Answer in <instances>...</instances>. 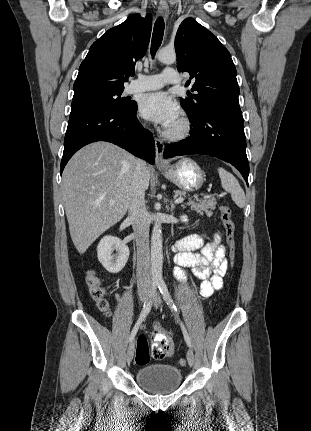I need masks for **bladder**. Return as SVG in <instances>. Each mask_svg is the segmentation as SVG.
Wrapping results in <instances>:
<instances>
[{"mask_svg": "<svg viewBox=\"0 0 311 431\" xmlns=\"http://www.w3.org/2000/svg\"><path fill=\"white\" fill-rule=\"evenodd\" d=\"M136 382L149 393L168 394L181 386L182 371L171 364H145L137 370Z\"/></svg>", "mask_w": 311, "mask_h": 431, "instance_id": "obj_1", "label": "bladder"}]
</instances>
